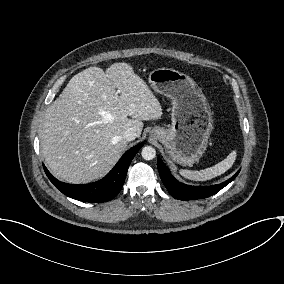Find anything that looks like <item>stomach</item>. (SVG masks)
Here are the masks:
<instances>
[{"instance_id":"1","label":"stomach","mask_w":284,"mask_h":284,"mask_svg":"<svg viewBox=\"0 0 284 284\" xmlns=\"http://www.w3.org/2000/svg\"><path fill=\"white\" fill-rule=\"evenodd\" d=\"M149 83L154 91L172 100L170 128L156 126L150 135L164 145L168 159L193 165L205 152L213 129L207 98L190 76L171 68L153 70Z\"/></svg>"}]
</instances>
